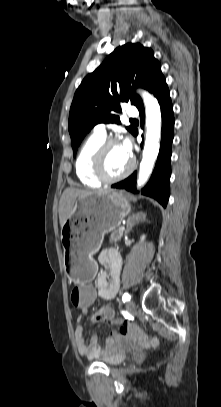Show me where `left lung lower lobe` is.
I'll list each match as a JSON object with an SVG mask.
<instances>
[{"label":"left lung lower lobe","mask_w":221,"mask_h":407,"mask_svg":"<svg viewBox=\"0 0 221 407\" xmlns=\"http://www.w3.org/2000/svg\"><path fill=\"white\" fill-rule=\"evenodd\" d=\"M158 99L162 114V138L159 155L155 169L147 185L141 190L143 195L156 199L163 207H166L169 198V181L171 176V144L173 141L174 116L173 106L170 99L169 89L165 78H162L153 91ZM141 126L144 125V106L139 109ZM137 135V131L134 133ZM112 188L125 189L136 193V172L125 180L112 185Z\"/></svg>","instance_id":"obj_1"}]
</instances>
